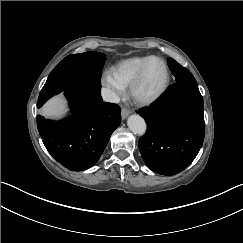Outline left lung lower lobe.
I'll list each match as a JSON object with an SVG mask.
<instances>
[{
	"mask_svg": "<svg viewBox=\"0 0 243 243\" xmlns=\"http://www.w3.org/2000/svg\"><path fill=\"white\" fill-rule=\"evenodd\" d=\"M138 113L147 123L139 140L146 165L162 175H175L188 167L205 134L203 98L197 83L171 85L158 101Z\"/></svg>",
	"mask_w": 243,
	"mask_h": 243,
	"instance_id": "1",
	"label": "left lung lower lobe"
}]
</instances>
